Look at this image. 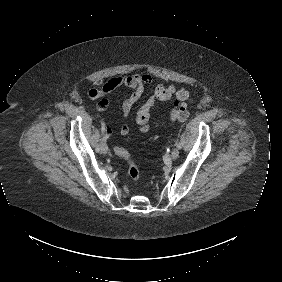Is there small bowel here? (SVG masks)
Returning <instances> with one entry per match:
<instances>
[{
  "mask_svg": "<svg viewBox=\"0 0 282 282\" xmlns=\"http://www.w3.org/2000/svg\"><path fill=\"white\" fill-rule=\"evenodd\" d=\"M154 81L151 73L133 74L128 76H115L109 79L100 89H90L87 96L90 99H98L96 109L100 112L109 107V101L106 96L119 87L129 88L131 94L122 102L121 112L124 117H128L132 112L133 106L141 98L146 85ZM173 101V105L182 104L186 106L192 100L190 92L184 88H179L174 84H157L153 92L148 96L142 106L136 112L135 120L141 132L149 130V119L152 110L159 102ZM129 125L125 122L120 124V134L127 136L129 134ZM107 135L111 133V126H105Z\"/></svg>",
  "mask_w": 282,
  "mask_h": 282,
  "instance_id": "obj_1",
  "label": "small bowel"
}]
</instances>
